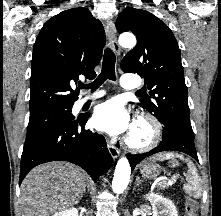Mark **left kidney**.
<instances>
[{"label": "left kidney", "mask_w": 221, "mask_h": 216, "mask_svg": "<svg viewBox=\"0 0 221 216\" xmlns=\"http://www.w3.org/2000/svg\"><path fill=\"white\" fill-rule=\"evenodd\" d=\"M145 198L151 203L153 216H178L174 203L157 193H150Z\"/></svg>", "instance_id": "obj_1"}]
</instances>
